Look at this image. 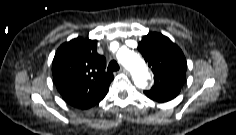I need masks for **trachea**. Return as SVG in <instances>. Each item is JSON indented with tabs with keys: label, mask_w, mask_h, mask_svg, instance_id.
I'll use <instances>...</instances> for the list:
<instances>
[{
	"label": "trachea",
	"mask_w": 236,
	"mask_h": 135,
	"mask_svg": "<svg viewBox=\"0 0 236 135\" xmlns=\"http://www.w3.org/2000/svg\"><path fill=\"white\" fill-rule=\"evenodd\" d=\"M109 71H118L119 70V65L115 60H112L107 68Z\"/></svg>",
	"instance_id": "trachea-1"
}]
</instances>
